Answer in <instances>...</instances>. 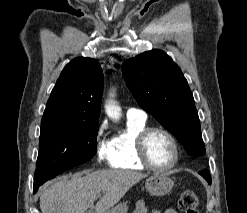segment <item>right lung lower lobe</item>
<instances>
[{
    "mask_svg": "<svg viewBox=\"0 0 247 213\" xmlns=\"http://www.w3.org/2000/svg\"><path fill=\"white\" fill-rule=\"evenodd\" d=\"M39 186H34V193L38 190Z\"/></svg>",
    "mask_w": 247,
    "mask_h": 213,
    "instance_id": "98d812e1",
    "label": "right lung lower lobe"
}]
</instances>
